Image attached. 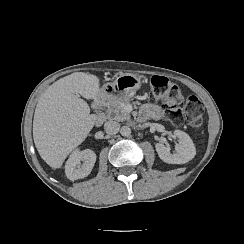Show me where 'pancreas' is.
<instances>
[{"label": "pancreas", "mask_w": 244, "mask_h": 244, "mask_svg": "<svg viewBox=\"0 0 244 244\" xmlns=\"http://www.w3.org/2000/svg\"><path fill=\"white\" fill-rule=\"evenodd\" d=\"M129 98L124 100H112L108 102L106 117L118 122H123L131 118L130 114L124 109V106L129 104Z\"/></svg>", "instance_id": "cf45deb5"}]
</instances>
